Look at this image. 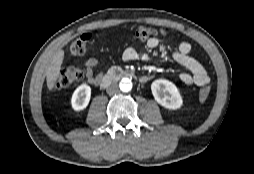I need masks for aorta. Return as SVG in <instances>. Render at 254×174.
I'll use <instances>...</instances> for the list:
<instances>
[{
  "instance_id": "obj_1",
  "label": "aorta",
  "mask_w": 254,
  "mask_h": 174,
  "mask_svg": "<svg viewBox=\"0 0 254 174\" xmlns=\"http://www.w3.org/2000/svg\"><path fill=\"white\" fill-rule=\"evenodd\" d=\"M122 92H129L132 89V82L129 78H123L119 83Z\"/></svg>"
}]
</instances>
